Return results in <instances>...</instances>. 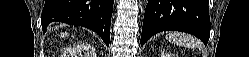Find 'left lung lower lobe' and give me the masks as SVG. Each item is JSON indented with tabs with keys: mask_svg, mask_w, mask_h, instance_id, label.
<instances>
[{
	"mask_svg": "<svg viewBox=\"0 0 249 57\" xmlns=\"http://www.w3.org/2000/svg\"><path fill=\"white\" fill-rule=\"evenodd\" d=\"M174 30L195 35L206 45L210 36L208 0H149L141 46L156 33Z\"/></svg>",
	"mask_w": 249,
	"mask_h": 57,
	"instance_id": "1",
	"label": "left lung lower lobe"
}]
</instances>
